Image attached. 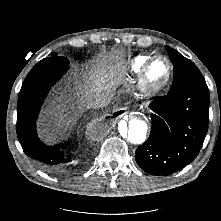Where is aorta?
<instances>
[{"label":"aorta","mask_w":221,"mask_h":221,"mask_svg":"<svg viewBox=\"0 0 221 221\" xmlns=\"http://www.w3.org/2000/svg\"><path fill=\"white\" fill-rule=\"evenodd\" d=\"M148 124L143 116L131 115L118 123V136L125 142L142 144L146 139Z\"/></svg>","instance_id":"obj_1"}]
</instances>
